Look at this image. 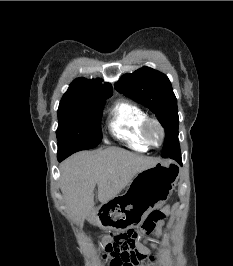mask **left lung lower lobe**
Wrapping results in <instances>:
<instances>
[{
  "instance_id": "obj_1",
  "label": "left lung lower lobe",
  "mask_w": 233,
  "mask_h": 266,
  "mask_svg": "<svg viewBox=\"0 0 233 266\" xmlns=\"http://www.w3.org/2000/svg\"><path fill=\"white\" fill-rule=\"evenodd\" d=\"M168 157L176 160L179 164H182L180 146L170 153Z\"/></svg>"
}]
</instances>
